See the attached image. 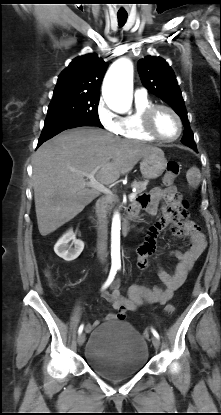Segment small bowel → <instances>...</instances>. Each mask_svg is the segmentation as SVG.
Here are the masks:
<instances>
[{
    "instance_id": "obj_1",
    "label": "small bowel",
    "mask_w": 221,
    "mask_h": 415,
    "mask_svg": "<svg viewBox=\"0 0 221 415\" xmlns=\"http://www.w3.org/2000/svg\"><path fill=\"white\" fill-rule=\"evenodd\" d=\"M160 204H162L164 216L150 226L145 242L138 248V268L146 269L149 267L148 259L154 252L156 238L168 225H172L175 235L187 237V249L184 252L175 251L178 264L173 274L158 267V276L163 286H155L152 289H148L143 286L132 285L128 296L122 294L119 278H116L110 287H103L102 297L110 302L114 309V312L106 314L104 321L122 320L125 317L126 311H134L145 303H158L161 305L167 303L172 298L175 290L184 283L195 261L206 247L205 236L198 231L197 225L186 220L189 218V211L185 207V202L181 201V195L175 186L158 187L149 193L141 194L132 206L136 208L137 212L142 209L149 215H155ZM100 323V320H95L87 326V329L91 330Z\"/></svg>"
}]
</instances>
